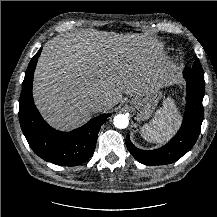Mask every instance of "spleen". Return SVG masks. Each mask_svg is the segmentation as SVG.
<instances>
[{"label":"spleen","mask_w":217,"mask_h":217,"mask_svg":"<svg viewBox=\"0 0 217 217\" xmlns=\"http://www.w3.org/2000/svg\"><path fill=\"white\" fill-rule=\"evenodd\" d=\"M181 116L170 100L156 111L152 120L141 130L142 137L153 143H162L169 139L179 126Z\"/></svg>","instance_id":"3e777b00"}]
</instances>
